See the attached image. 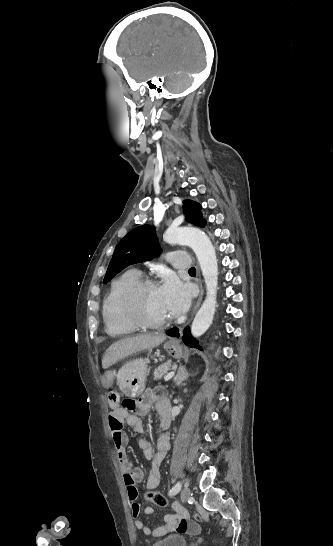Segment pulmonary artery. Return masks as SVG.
<instances>
[{"label": "pulmonary artery", "mask_w": 333, "mask_h": 546, "mask_svg": "<svg viewBox=\"0 0 333 546\" xmlns=\"http://www.w3.org/2000/svg\"><path fill=\"white\" fill-rule=\"evenodd\" d=\"M170 263L178 269H188L190 266L189 258L186 253L173 251L168 254Z\"/></svg>", "instance_id": "obj_1"}]
</instances>
